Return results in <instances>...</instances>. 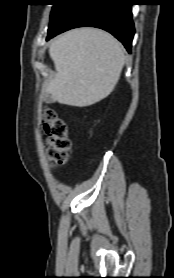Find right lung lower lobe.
I'll return each instance as SVG.
<instances>
[{
  "label": "right lung lower lobe",
  "mask_w": 174,
  "mask_h": 278,
  "mask_svg": "<svg viewBox=\"0 0 174 278\" xmlns=\"http://www.w3.org/2000/svg\"><path fill=\"white\" fill-rule=\"evenodd\" d=\"M130 1L79 0L56 27L48 30L47 40L72 28L92 26L113 34L130 52L135 33Z\"/></svg>",
  "instance_id": "obj_1"
}]
</instances>
